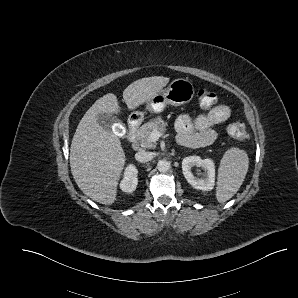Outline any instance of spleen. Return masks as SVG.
I'll use <instances>...</instances> for the list:
<instances>
[{"label": "spleen", "mask_w": 298, "mask_h": 298, "mask_svg": "<svg viewBox=\"0 0 298 298\" xmlns=\"http://www.w3.org/2000/svg\"><path fill=\"white\" fill-rule=\"evenodd\" d=\"M249 168V158L244 150L228 149L218 168L216 199L224 203L237 193L241 187Z\"/></svg>", "instance_id": "obj_1"}]
</instances>
